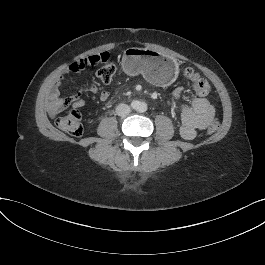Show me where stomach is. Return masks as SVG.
Listing matches in <instances>:
<instances>
[{
  "label": "stomach",
  "mask_w": 265,
  "mask_h": 265,
  "mask_svg": "<svg viewBox=\"0 0 265 265\" xmlns=\"http://www.w3.org/2000/svg\"><path fill=\"white\" fill-rule=\"evenodd\" d=\"M122 67L128 75L142 74L159 86L172 84L178 73L177 62L173 57L147 48L126 49L122 57Z\"/></svg>",
  "instance_id": "obj_1"
}]
</instances>
